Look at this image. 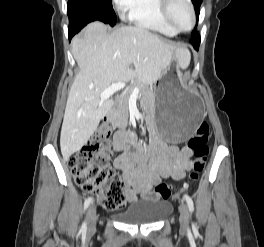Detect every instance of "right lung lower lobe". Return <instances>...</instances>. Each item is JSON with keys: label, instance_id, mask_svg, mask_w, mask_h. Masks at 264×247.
I'll return each mask as SVG.
<instances>
[{"label": "right lung lower lobe", "instance_id": "right-lung-lower-lobe-1", "mask_svg": "<svg viewBox=\"0 0 264 247\" xmlns=\"http://www.w3.org/2000/svg\"><path fill=\"white\" fill-rule=\"evenodd\" d=\"M90 22H92V17L89 16H76L69 18V40H71L76 33Z\"/></svg>", "mask_w": 264, "mask_h": 247}]
</instances>
